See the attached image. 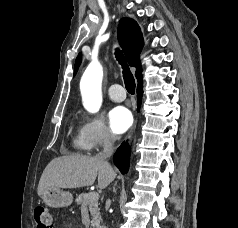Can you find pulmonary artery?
Instances as JSON below:
<instances>
[{
	"label": "pulmonary artery",
	"mask_w": 238,
	"mask_h": 228,
	"mask_svg": "<svg viewBox=\"0 0 238 228\" xmlns=\"http://www.w3.org/2000/svg\"><path fill=\"white\" fill-rule=\"evenodd\" d=\"M108 96L113 101L121 102L126 98V93L121 85L113 84L108 89Z\"/></svg>",
	"instance_id": "obj_1"
}]
</instances>
